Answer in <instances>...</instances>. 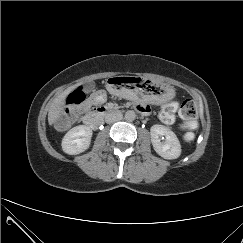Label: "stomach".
Returning a JSON list of instances; mask_svg holds the SVG:
<instances>
[{
  "label": "stomach",
  "mask_w": 243,
  "mask_h": 243,
  "mask_svg": "<svg viewBox=\"0 0 243 243\" xmlns=\"http://www.w3.org/2000/svg\"><path fill=\"white\" fill-rule=\"evenodd\" d=\"M107 86L114 95L148 104H166L175 96L172 88L148 78L115 76L107 81Z\"/></svg>",
  "instance_id": "obj_1"
}]
</instances>
